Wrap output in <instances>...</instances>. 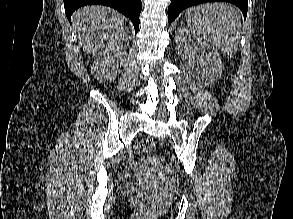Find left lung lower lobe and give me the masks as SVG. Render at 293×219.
Wrapping results in <instances>:
<instances>
[{
    "mask_svg": "<svg viewBox=\"0 0 293 219\" xmlns=\"http://www.w3.org/2000/svg\"><path fill=\"white\" fill-rule=\"evenodd\" d=\"M230 2L240 8L246 18L248 10V0H171L168 7V22L171 23L184 9L193 5H198L206 2Z\"/></svg>",
    "mask_w": 293,
    "mask_h": 219,
    "instance_id": "0a47b994",
    "label": "left lung lower lobe"
}]
</instances>
